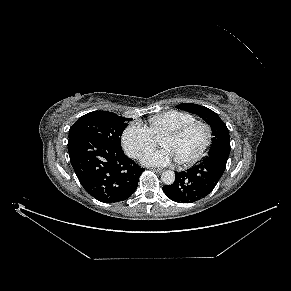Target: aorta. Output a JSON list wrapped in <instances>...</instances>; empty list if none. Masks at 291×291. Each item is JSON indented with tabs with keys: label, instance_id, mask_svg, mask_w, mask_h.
Instances as JSON below:
<instances>
[{
	"label": "aorta",
	"instance_id": "762f6f07",
	"mask_svg": "<svg viewBox=\"0 0 291 291\" xmlns=\"http://www.w3.org/2000/svg\"><path fill=\"white\" fill-rule=\"evenodd\" d=\"M161 180L166 185H171L175 181V173L171 170L164 171L161 175Z\"/></svg>",
	"mask_w": 291,
	"mask_h": 291
}]
</instances>
